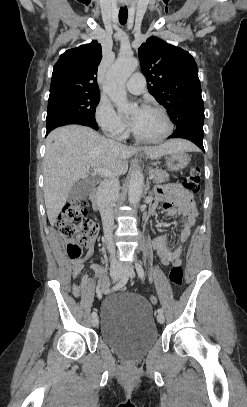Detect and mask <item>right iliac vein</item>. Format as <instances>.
<instances>
[{
    "label": "right iliac vein",
    "mask_w": 247,
    "mask_h": 407,
    "mask_svg": "<svg viewBox=\"0 0 247 407\" xmlns=\"http://www.w3.org/2000/svg\"><path fill=\"white\" fill-rule=\"evenodd\" d=\"M110 275L113 281H118L122 275V267L118 264H113L110 269ZM99 319L98 317H94L92 319V325L94 327L98 326Z\"/></svg>",
    "instance_id": "1"
}]
</instances>
